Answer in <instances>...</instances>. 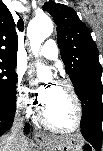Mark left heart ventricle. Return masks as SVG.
I'll list each match as a JSON object with an SVG mask.
<instances>
[{
    "label": "left heart ventricle",
    "instance_id": "obj_1",
    "mask_svg": "<svg viewBox=\"0 0 103 151\" xmlns=\"http://www.w3.org/2000/svg\"><path fill=\"white\" fill-rule=\"evenodd\" d=\"M47 118L56 126L69 127L75 122V107L66 89L54 85L49 102L43 106Z\"/></svg>",
    "mask_w": 103,
    "mask_h": 151
}]
</instances>
